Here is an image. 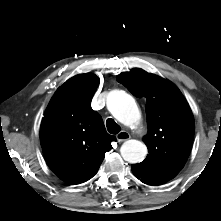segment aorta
Listing matches in <instances>:
<instances>
[{"mask_svg": "<svg viewBox=\"0 0 221 221\" xmlns=\"http://www.w3.org/2000/svg\"><path fill=\"white\" fill-rule=\"evenodd\" d=\"M107 108L120 123L126 126L137 124L141 118L134 98L122 90H114L109 93ZM120 152L123 159L129 163L143 161L148 153L146 145L137 140L124 142Z\"/></svg>", "mask_w": 221, "mask_h": 221, "instance_id": "762f6f07", "label": "aorta"}]
</instances>
